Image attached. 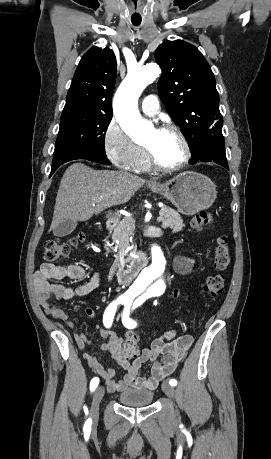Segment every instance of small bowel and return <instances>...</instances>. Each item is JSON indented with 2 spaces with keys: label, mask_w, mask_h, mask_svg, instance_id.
Instances as JSON below:
<instances>
[{
  "label": "small bowel",
  "mask_w": 271,
  "mask_h": 459,
  "mask_svg": "<svg viewBox=\"0 0 271 459\" xmlns=\"http://www.w3.org/2000/svg\"><path fill=\"white\" fill-rule=\"evenodd\" d=\"M85 275V269L78 264L62 266L45 263L36 272L34 278L35 293L41 307L49 316L61 321L72 331H75L76 328L74 322L69 319L62 308L51 303L50 298L69 300L90 294L101 283L98 273H94L88 281L74 289L56 283L65 278L80 280ZM86 315L89 318H95V313L91 308L86 309ZM99 331L105 340L99 348L108 352L112 360L125 370L124 376L120 380H115V370L104 368L94 356L84 353L88 367L104 380L109 393L122 392L128 388H156L162 379L175 371L193 343L191 335L179 333L176 330H168L161 337L153 340L151 346L143 349L134 362L130 364L121 353L122 338L104 328H100ZM75 340L81 349L90 344L82 333H76ZM146 363L152 364L150 376L142 375V367Z\"/></svg>",
  "instance_id": "obj_1"
}]
</instances>
